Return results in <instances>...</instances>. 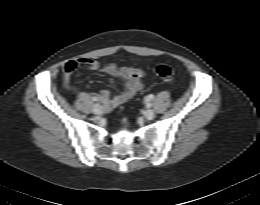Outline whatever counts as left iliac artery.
I'll return each mask as SVG.
<instances>
[{
	"mask_svg": "<svg viewBox=\"0 0 260 205\" xmlns=\"http://www.w3.org/2000/svg\"><path fill=\"white\" fill-rule=\"evenodd\" d=\"M153 99V95H149L148 98H147V101ZM152 104L150 102L147 103V107H151Z\"/></svg>",
	"mask_w": 260,
	"mask_h": 205,
	"instance_id": "44dca946",
	"label": "left iliac artery"
}]
</instances>
